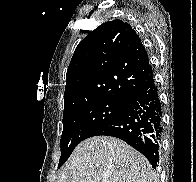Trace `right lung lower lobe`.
<instances>
[{
  "label": "right lung lower lobe",
  "mask_w": 196,
  "mask_h": 182,
  "mask_svg": "<svg viewBox=\"0 0 196 182\" xmlns=\"http://www.w3.org/2000/svg\"><path fill=\"white\" fill-rule=\"evenodd\" d=\"M162 129L161 104L152 77L129 101L123 112L101 126L91 137L107 135L122 139L141 152L156 168Z\"/></svg>",
  "instance_id": "1"
}]
</instances>
